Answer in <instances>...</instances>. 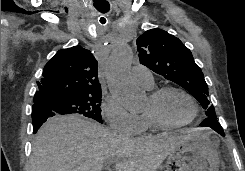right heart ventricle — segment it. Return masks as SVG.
Masks as SVG:
<instances>
[{
    "mask_svg": "<svg viewBox=\"0 0 245 171\" xmlns=\"http://www.w3.org/2000/svg\"><path fill=\"white\" fill-rule=\"evenodd\" d=\"M152 89V88H150ZM142 124H143V130L142 132H145L147 130H156L157 128L152 124V122L149 120V118L143 113L141 115Z\"/></svg>",
    "mask_w": 245,
    "mask_h": 171,
    "instance_id": "obj_1",
    "label": "right heart ventricle"
}]
</instances>
